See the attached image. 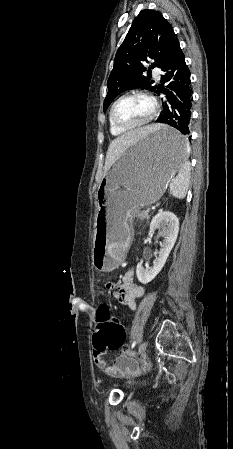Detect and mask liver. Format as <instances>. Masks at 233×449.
I'll list each match as a JSON object with an SVG mask.
<instances>
[{
	"label": "liver",
	"instance_id": "1",
	"mask_svg": "<svg viewBox=\"0 0 233 449\" xmlns=\"http://www.w3.org/2000/svg\"><path fill=\"white\" fill-rule=\"evenodd\" d=\"M160 124L148 125L127 133H121L119 137L113 140L106 154L105 172L120 159L121 155L135 142H141L142 137L152 133L160 128Z\"/></svg>",
	"mask_w": 233,
	"mask_h": 449
}]
</instances>
